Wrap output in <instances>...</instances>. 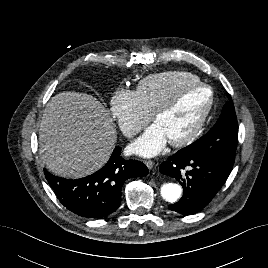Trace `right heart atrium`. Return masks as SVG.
Masks as SVG:
<instances>
[{"instance_id": "obj_1", "label": "right heart atrium", "mask_w": 268, "mask_h": 268, "mask_svg": "<svg viewBox=\"0 0 268 268\" xmlns=\"http://www.w3.org/2000/svg\"><path fill=\"white\" fill-rule=\"evenodd\" d=\"M110 110L123 133L132 137L151 120L152 114L145 107L139 93L118 89L111 98Z\"/></svg>"}]
</instances>
